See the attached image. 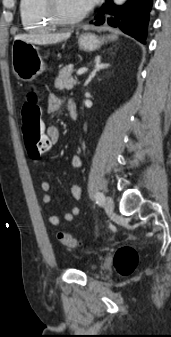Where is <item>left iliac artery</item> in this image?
Segmentation results:
<instances>
[{
  "instance_id": "1",
  "label": "left iliac artery",
  "mask_w": 171,
  "mask_h": 337,
  "mask_svg": "<svg viewBox=\"0 0 171 337\" xmlns=\"http://www.w3.org/2000/svg\"><path fill=\"white\" fill-rule=\"evenodd\" d=\"M104 199H105V197H104L103 193H101V192L96 193L95 200H96L97 204L102 205L103 202H104Z\"/></svg>"
}]
</instances>
